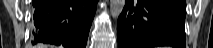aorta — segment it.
<instances>
[{
    "label": "aorta",
    "instance_id": "obj_1",
    "mask_svg": "<svg viewBox=\"0 0 213 48\" xmlns=\"http://www.w3.org/2000/svg\"><path fill=\"white\" fill-rule=\"evenodd\" d=\"M125 6V0H110V15L113 18H118Z\"/></svg>",
    "mask_w": 213,
    "mask_h": 48
}]
</instances>
